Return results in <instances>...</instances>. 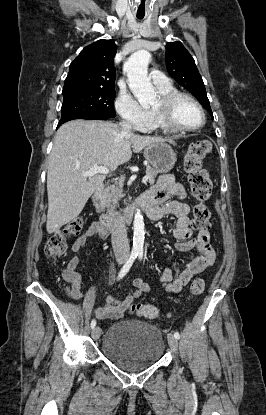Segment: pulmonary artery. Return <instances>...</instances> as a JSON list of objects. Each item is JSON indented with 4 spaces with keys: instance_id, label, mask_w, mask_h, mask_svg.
<instances>
[{
    "instance_id": "1",
    "label": "pulmonary artery",
    "mask_w": 266,
    "mask_h": 415,
    "mask_svg": "<svg viewBox=\"0 0 266 415\" xmlns=\"http://www.w3.org/2000/svg\"><path fill=\"white\" fill-rule=\"evenodd\" d=\"M150 77L152 79V82L156 86H164L170 84L169 79L160 71L158 70H152L150 72Z\"/></svg>"
}]
</instances>
